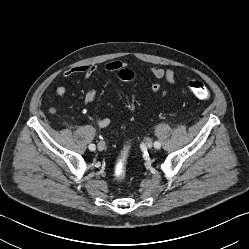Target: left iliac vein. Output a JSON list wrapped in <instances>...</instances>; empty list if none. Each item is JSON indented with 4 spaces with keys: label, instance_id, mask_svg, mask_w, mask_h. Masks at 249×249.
Here are the masks:
<instances>
[{
    "label": "left iliac vein",
    "instance_id": "1",
    "mask_svg": "<svg viewBox=\"0 0 249 249\" xmlns=\"http://www.w3.org/2000/svg\"><path fill=\"white\" fill-rule=\"evenodd\" d=\"M145 144L147 146V148H152L153 146V141L151 138H147L146 141H145Z\"/></svg>",
    "mask_w": 249,
    "mask_h": 249
}]
</instances>
